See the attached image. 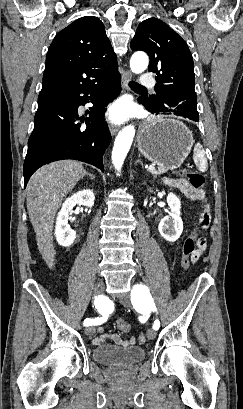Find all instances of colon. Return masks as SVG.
<instances>
[{"mask_svg":"<svg viewBox=\"0 0 243 409\" xmlns=\"http://www.w3.org/2000/svg\"><path fill=\"white\" fill-rule=\"evenodd\" d=\"M180 175L186 179V181L196 190L200 191L203 195V199L205 196V188H204V177L197 172L189 171V170H182ZM201 217L202 213L198 215L195 228L190 236L185 240L183 245L182 251V259H181V266L184 270H188L190 265L193 263L191 256L192 253L196 249V242L198 239V231L201 228ZM118 327L123 331H129L130 325L123 319H119L117 321ZM140 343H144L146 341V337L144 334L139 335Z\"/></svg>","mask_w":243,"mask_h":409,"instance_id":"colon-1","label":"colon"}]
</instances>
